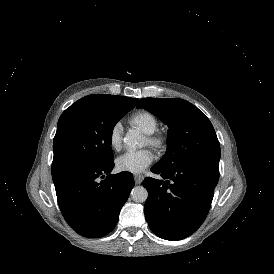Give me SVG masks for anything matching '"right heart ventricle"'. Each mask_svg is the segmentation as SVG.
Here are the masks:
<instances>
[{
	"label": "right heart ventricle",
	"mask_w": 274,
	"mask_h": 274,
	"mask_svg": "<svg viewBox=\"0 0 274 274\" xmlns=\"http://www.w3.org/2000/svg\"><path fill=\"white\" fill-rule=\"evenodd\" d=\"M131 123L137 125L139 129L147 135H152L158 128L156 119L149 113L134 115L131 118Z\"/></svg>",
	"instance_id": "e07e8e85"
}]
</instances>
